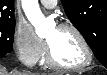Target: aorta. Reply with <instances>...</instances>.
<instances>
[{
	"label": "aorta",
	"instance_id": "1",
	"mask_svg": "<svg viewBox=\"0 0 107 75\" xmlns=\"http://www.w3.org/2000/svg\"><path fill=\"white\" fill-rule=\"evenodd\" d=\"M22 8L29 22L34 26L36 34L40 37L48 32L49 25L42 14L38 0H22Z\"/></svg>",
	"mask_w": 107,
	"mask_h": 75
}]
</instances>
